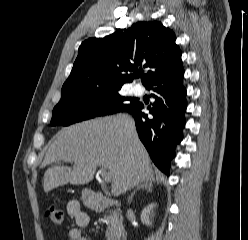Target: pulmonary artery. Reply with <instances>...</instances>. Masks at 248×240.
Instances as JSON below:
<instances>
[{"label":"pulmonary artery","mask_w":248,"mask_h":240,"mask_svg":"<svg viewBox=\"0 0 248 240\" xmlns=\"http://www.w3.org/2000/svg\"><path fill=\"white\" fill-rule=\"evenodd\" d=\"M144 92V89L141 85L137 84L133 87V93L136 95H142Z\"/></svg>","instance_id":"obj_1"}]
</instances>
